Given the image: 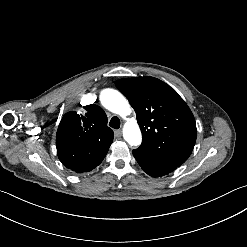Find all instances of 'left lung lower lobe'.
Returning <instances> with one entry per match:
<instances>
[{"label":"left lung lower lobe","instance_id":"0a47b994","mask_svg":"<svg viewBox=\"0 0 247 247\" xmlns=\"http://www.w3.org/2000/svg\"><path fill=\"white\" fill-rule=\"evenodd\" d=\"M133 155L143 171L153 177L167 175L179 167L139 148L133 150Z\"/></svg>","mask_w":247,"mask_h":247}]
</instances>
